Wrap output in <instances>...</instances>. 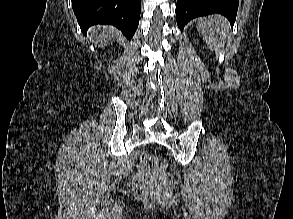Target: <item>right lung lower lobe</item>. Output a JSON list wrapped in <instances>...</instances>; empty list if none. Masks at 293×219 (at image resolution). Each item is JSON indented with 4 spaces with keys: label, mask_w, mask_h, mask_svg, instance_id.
Returning a JSON list of instances; mask_svg holds the SVG:
<instances>
[{
    "label": "right lung lower lobe",
    "mask_w": 293,
    "mask_h": 219,
    "mask_svg": "<svg viewBox=\"0 0 293 219\" xmlns=\"http://www.w3.org/2000/svg\"><path fill=\"white\" fill-rule=\"evenodd\" d=\"M72 7L84 34L90 26L110 24L131 40L139 24L141 0H72Z\"/></svg>",
    "instance_id": "1"
}]
</instances>
